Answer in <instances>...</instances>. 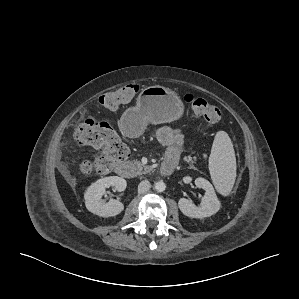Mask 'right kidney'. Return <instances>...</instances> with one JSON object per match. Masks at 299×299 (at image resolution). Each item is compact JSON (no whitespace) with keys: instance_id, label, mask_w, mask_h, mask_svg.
Segmentation results:
<instances>
[{"instance_id":"ca27d5eb","label":"right kidney","mask_w":299,"mask_h":299,"mask_svg":"<svg viewBox=\"0 0 299 299\" xmlns=\"http://www.w3.org/2000/svg\"><path fill=\"white\" fill-rule=\"evenodd\" d=\"M110 186L122 192L126 189L127 182L121 177L109 176L98 179L87 188L84 194L85 206L91 213L100 217H112L123 211L124 205L120 201L110 199L108 203H105L102 200L106 188Z\"/></svg>"}]
</instances>
